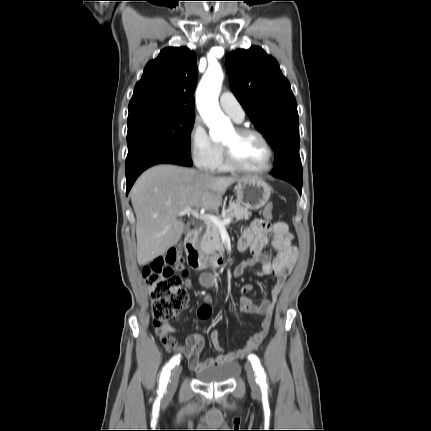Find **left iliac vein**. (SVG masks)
<instances>
[{
  "label": "left iliac vein",
  "instance_id": "4c4485c4",
  "mask_svg": "<svg viewBox=\"0 0 431 431\" xmlns=\"http://www.w3.org/2000/svg\"><path fill=\"white\" fill-rule=\"evenodd\" d=\"M245 370L247 373V378H248V382L250 384L251 389L254 392H258L259 391V385L258 382L256 381V373L252 367V365L250 363H246L245 364Z\"/></svg>",
  "mask_w": 431,
  "mask_h": 431
}]
</instances>
